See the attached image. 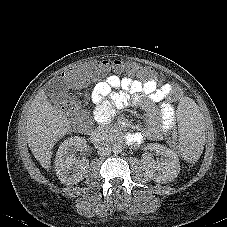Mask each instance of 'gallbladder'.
I'll return each instance as SVG.
<instances>
[{"mask_svg": "<svg viewBox=\"0 0 227 227\" xmlns=\"http://www.w3.org/2000/svg\"><path fill=\"white\" fill-rule=\"evenodd\" d=\"M48 90L52 94L58 95L62 99L67 98V95H68L67 93L69 91L67 85L59 77H55L50 81L48 85Z\"/></svg>", "mask_w": 227, "mask_h": 227, "instance_id": "obj_1", "label": "gallbladder"}]
</instances>
